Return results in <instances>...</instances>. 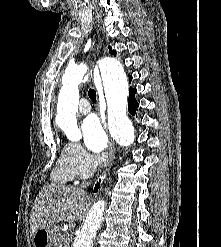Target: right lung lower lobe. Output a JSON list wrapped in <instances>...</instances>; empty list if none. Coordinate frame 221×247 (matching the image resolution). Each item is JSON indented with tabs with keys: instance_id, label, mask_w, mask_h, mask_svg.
<instances>
[{
	"instance_id": "right-lung-lower-lobe-1",
	"label": "right lung lower lobe",
	"mask_w": 221,
	"mask_h": 247,
	"mask_svg": "<svg viewBox=\"0 0 221 247\" xmlns=\"http://www.w3.org/2000/svg\"><path fill=\"white\" fill-rule=\"evenodd\" d=\"M99 183L98 184H96V186H95V189H94V192H97V189L99 188Z\"/></svg>"
}]
</instances>
